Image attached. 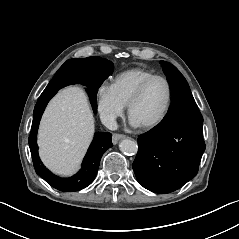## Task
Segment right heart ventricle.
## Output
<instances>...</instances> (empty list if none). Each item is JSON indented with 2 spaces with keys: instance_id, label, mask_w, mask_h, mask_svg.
<instances>
[{
  "instance_id": "right-heart-ventricle-1",
  "label": "right heart ventricle",
  "mask_w": 239,
  "mask_h": 239,
  "mask_svg": "<svg viewBox=\"0 0 239 239\" xmlns=\"http://www.w3.org/2000/svg\"><path fill=\"white\" fill-rule=\"evenodd\" d=\"M155 73L149 69L142 67H135L124 70L116 74L111 80L112 87L116 97L119 101L127 106L131 96L137 88L149 77L154 76Z\"/></svg>"
}]
</instances>
